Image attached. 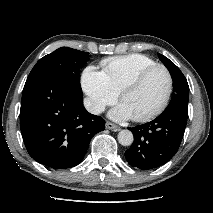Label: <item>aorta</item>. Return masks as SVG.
<instances>
[{"label":"aorta","mask_w":213,"mask_h":213,"mask_svg":"<svg viewBox=\"0 0 213 213\" xmlns=\"http://www.w3.org/2000/svg\"><path fill=\"white\" fill-rule=\"evenodd\" d=\"M118 141L123 146H130L134 141L132 132L129 130H121L118 134Z\"/></svg>","instance_id":"1"}]
</instances>
